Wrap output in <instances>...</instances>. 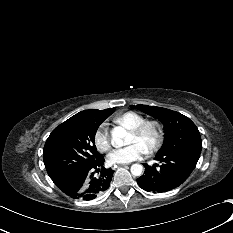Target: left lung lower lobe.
Returning <instances> with one entry per match:
<instances>
[{"instance_id": "0a47b994", "label": "left lung lower lobe", "mask_w": 233, "mask_h": 233, "mask_svg": "<svg viewBox=\"0 0 233 233\" xmlns=\"http://www.w3.org/2000/svg\"><path fill=\"white\" fill-rule=\"evenodd\" d=\"M160 165L144 164L145 172L137 179L138 185L147 192L162 193L182 184L194 170L198 159L181 153H157Z\"/></svg>"}]
</instances>
